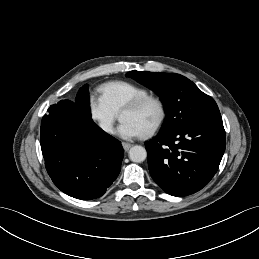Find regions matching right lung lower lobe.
<instances>
[{
  "instance_id": "right-lung-lower-lobe-1",
  "label": "right lung lower lobe",
  "mask_w": 259,
  "mask_h": 259,
  "mask_svg": "<svg viewBox=\"0 0 259 259\" xmlns=\"http://www.w3.org/2000/svg\"><path fill=\"white\" fill-rule=\"evenodd\" d=\"M40 140L53 183L74 198L102 196L121 170V142L81 114L69 100L50 106L42 118Z\"/></svg>"
}]
</instances>
